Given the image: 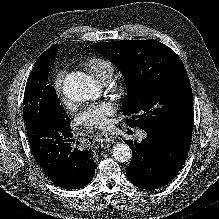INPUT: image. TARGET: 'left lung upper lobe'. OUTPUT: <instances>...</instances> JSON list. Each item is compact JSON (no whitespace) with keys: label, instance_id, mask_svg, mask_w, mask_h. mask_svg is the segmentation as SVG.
Masks as SVG:
<instances>
[{"label":"left lung upper lobe","instance_id":"5c2ea615","mask_svg":"<svg viewBox=\"0 0 219 219\" xmlns=\"http://www.w3.org/2000/svg\"><path fill=\"white\" fill-rule=\"evenodd\" d=\"M93 48L115 63L125 76L124 115L149 132L167 134L192 129L193 95L179 56L156 40L102 42ZM136 119V120H135Z\"/></svg>","mask_w":219,"mask_h":219}]
</instances>
